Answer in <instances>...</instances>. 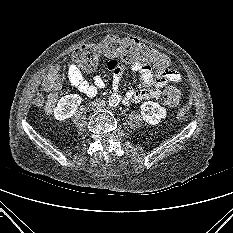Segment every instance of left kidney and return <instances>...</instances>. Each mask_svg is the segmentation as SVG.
<instances>
[{
    "label": "left kidney",
    "mask_w": 233,
    "mask_h": 233,
    "mask_svg": "<svg viewBox=\"0 0 233 233\" xmlns=\"http://www.w3.org/2000/svg\"><path fill=\"white\" fill-rule=\"evenodd\" d=\"M166 109L153 101L144 102L141 105V116L148 124L155 125L161 119L166 118Z\"/></svg>",
    "instance_id": "left-kidney-1"
}]
</instances>
